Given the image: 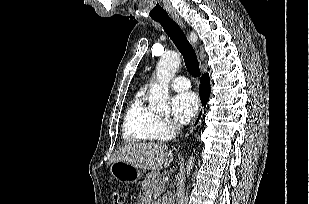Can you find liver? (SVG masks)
Masks as SVG:
<instances>
[{"label":"liver","instance_id":"obj_1","mask_svg":"<svg viewBox=\"0 0 309 204\" xmlns=\"http://www.w3.org/2000/svg\"><path fill=\"white\" fill-rule=\"evenodd\" d=\"M123 161L137 168L158 171L173 161V153L163 143H132L120 147L110 163Z\"/></svg>","mask_w":309,"mask_h":204}]
</instances>
